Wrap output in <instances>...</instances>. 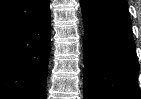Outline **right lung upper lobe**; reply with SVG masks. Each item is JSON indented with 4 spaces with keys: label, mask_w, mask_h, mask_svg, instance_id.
I'll return each instance as SVG.
<instances>
[{
    "label": "right lung upper lobe",
    "mask_w": 141,
    "mask_h": 99,
    "mask_svg": "<svg viewBox=\"0 0 141 99\" xmlns=\"http://www.w3.org/2000/svg\"><path fill=\"white\" fill-rule=\"evenodd\" d=\"M10 0H0V5L5 4L7 2H9Z\"/></svg>",
    "instance_id": "obj_1"
}]
</instances>
